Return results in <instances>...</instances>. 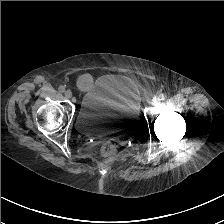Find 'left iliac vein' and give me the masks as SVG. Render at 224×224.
<instances>
[{"label":"left iliac vein","instance_id":"4c4485c4","mask_svg":"<svg viewBox=\"0 0 224 224\" xmlns=\"http://www.w3.org/2000/svg\"><path fill=\"white\" fill-rule=\"evenodd\" d=\"M158 103H159V99H158L157 97H154V98L152 99L151 104L154 105V106H156V105H158Z\"/></svg>","mask_w":224,"mask_h":224}]
</instances>
